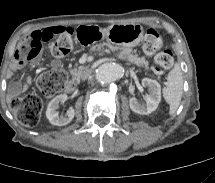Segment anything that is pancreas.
<instances>
[{
  "mask_svg": "<svg viewBox=\"0 0 215 183\" xmlns=\"http://www.w3.org/2000/svg\"><path fill=\"white\" fill-rule=\"evenodd\" d=\"M105 48H108L110 50H120L118 57L122 60L129 61L130 63H133L137 65L138 67H143L144 69H148L149 62L145 60L144 57L140 58L136 54H133V51L131 48L127 47H117L109 43H99L91 47V50H103ZM85 66H79L78 64L75 65L73 69L70 70V74L73 78H79L82 74V72L86 69Z\"/></svg>",
  "mask_w": 215,
  "mask_h": 183,
  "instance_id": "obj_1",
  "label": "pancreas"
}]
</instances>
